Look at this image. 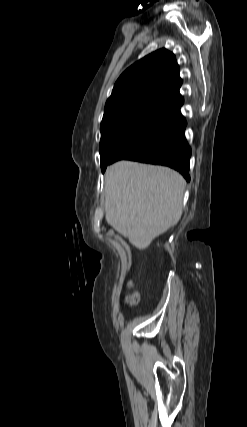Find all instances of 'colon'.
Instances as JSON below:
<instances>
[{
    "label": "colon",
    "instance_id": "5ec220e1",
    "mask_svg": "<svg viewBox=\"0 0 247 427\" xmlns=\"http://www.w3.org/2000/svg\"><path fill=\"white\" fill-rule=\"evenodd\" d=\"M129 287H133V284L130 283ZM140 300V294L137 291H133L126 299L129 305H136Z\"/></svg>",
    "mask_w": 247,
    "mask_h": 427
}]
</instances>
